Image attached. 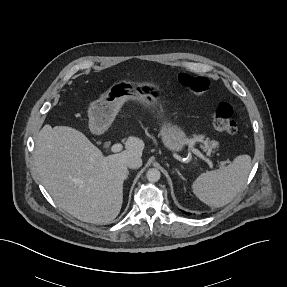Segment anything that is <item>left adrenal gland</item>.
Segmentation results:
<instances>
[{
	"label": "left adrenal gland",
	"mask_w": 287,
	"mask_h": 287,
	"mask_svg": "<svg viewBox=\"0 0 287 287\" xmlns=\"http://www.w3.org/2000/svg\"><path fill=\"white\" fill-rule=\"evenodd\" d=\"M176 170V172L178 173V175L183 179V180H185V178L182 176V174L179 172V170H177V169H175Z\"/></svg>",
	"instance_id": "a2214340"
}]
</instances>
